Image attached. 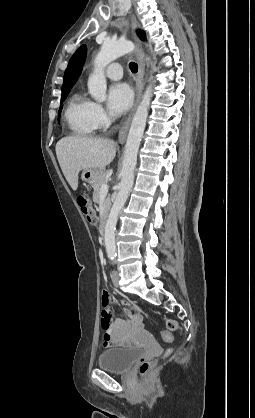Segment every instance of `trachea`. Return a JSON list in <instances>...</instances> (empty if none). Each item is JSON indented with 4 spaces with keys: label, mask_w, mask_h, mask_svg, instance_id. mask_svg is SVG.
Wrapping results in <instances>:
<instances>
[{
    "label": "trachea",
    "mask_w": 255,
    "mask_h": 418,
    "mask_svg": "<svg viewBox=\"0 0 255 418\" xmlns=\"http://www.w3.org/2000/svg\"><path fill=\"white\" fill-rule=\"evenodd\" d=\"M129 68L133 73H136L138 71V65L135 62H130Z\"/></svg>",
    "instance_id": "trachea-1"
}]
</instances>
